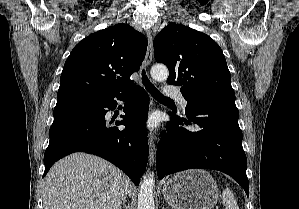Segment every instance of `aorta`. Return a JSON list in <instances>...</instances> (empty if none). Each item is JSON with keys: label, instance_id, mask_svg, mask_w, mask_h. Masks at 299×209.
<instances>
[{"label": "aorta", "instance_id": "aorta-1", "mask_svg": "<svg viewBox=\"0 0 299 209\" xmlns=\"http://www.w3.org/2000/svg\"><path fill=\"white\" fill-rule=\"evenodd\" d=\"M168 75V69L164 65H155L151 69V76L154 80H166ZM154 187V173H149L144 177L140 185L138 193V209H155L153 196Z\"/></svg>", "mask_w": 299, "mask_h": 209}]
</instances>
